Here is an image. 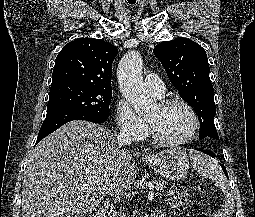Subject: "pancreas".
<instances>
[{
	"instance_id": "obj_1",
	"label": "pancreas",
	"mask_w": 255,
	"mask_h": 217,
	"mask_svg": "<svg viewBox=\"0 0 255 217\" xmlns=\"http://www.w3.org/2000/svg\"><path fill=\"white\" fill-rule=\"evenodd\" d=\"M153 184L155 186L156 191H160L165 188V186L167 185V182L164 180H155ZM113 217H125V215L122 214L121 211H115L113 214Z\"/></svg>"
}]
</instances>
